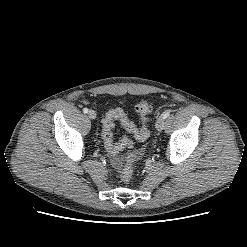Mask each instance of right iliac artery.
Here are the masks:
<instances>
[{
    "mask_svg": "<svg viewBox=\"0 0 247 247\" xmlns=\"http://www.w3.org/2000/svg\"><path fill=\"white\" fill-rule=\"evenodd\" d=\"M83 112H84V113H87V112H88V108H84V109H83Z\"/></svg>",
    "mask_w": 247,
    "mask_h": 247,
    "instance_id": "1",
    "label": "right iliac artery"
}]
</instances>
